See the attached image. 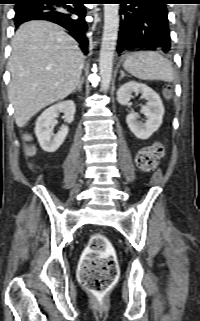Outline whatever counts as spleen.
Instances as JSON below:
<instances>
[{
    "label": "spleen",
    "instance_id": "3e777b00",
    "mask_svg": "<svg viewBox=\"0 0 200 321\" xmlns=\"http://www.w3.org/2000/svg\"><path fill=\"white\" fill-rule=\"evenodd\" d=\"M123 67L140 80L173 81L174 72L170 62L154 51H140L127 55Z\"/></svg>",
    "mask_w": 200,
    "mask_h": 321
}]
</instances>
